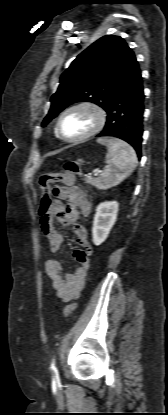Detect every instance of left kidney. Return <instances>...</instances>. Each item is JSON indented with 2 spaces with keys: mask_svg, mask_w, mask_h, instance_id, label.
<instances>
[{
  "mask_svg": "<svg viewBox=\"0 0 168 415\" xmlns=\"http://www.w3.org/2000/svg\"><path fill=\"white\" fill-rule=\"evenodd\" d=\"M118 203L116 201L103 202L97 206L94 216L92 236L95 245L102 244L116 222Z\"/></svg>",
  "mask_w": 168,
  "mask_h": 415,
  "instance_id": "5707ae66",
  "label": "left kidney"
}]
</instances>
